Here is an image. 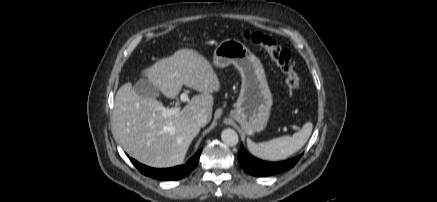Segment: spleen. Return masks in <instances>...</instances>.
Returning a JSON list of instances; mask_svg holds the SVG:
<instances>
[{"mask_svg": "<svg viewBox=\"0 0 437 202\" xmlns=\"http://www.w3.org/2000/svg\"><path fill=\"white\" fill-rule=\"evenodd\" d=\"M313 124L307 122L302 129L292 136H282L266 142L255 143L247 139V147L250 153L260 159L269 161L284 160L299 151L309 139Z\"/></svg>", "mask_w": 437, "mask_h": 202, "instance_id": "1", "label": "spleen"}]
</instances>
